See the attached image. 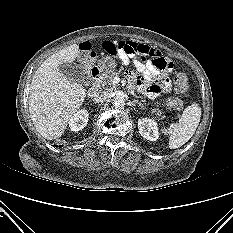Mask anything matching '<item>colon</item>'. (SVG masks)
<instances>
[{
	"mask_svg": "<svg viewBox=\"0 0 233 233\" xmlns=\"http://www.w3.org/2000/svg\"><path fill=\"white\" fill-rule=\"evenodd\" d=\"M173 88L177 94H183L188 89V78L184 73H177L173 78ZM168 105L177 111L183 109V102L178 98L168 99Z\"/></svg>",
	"mask_w": 233,
	"mask_h": 233,
	"instance_id": "colon-1",
	"label": "colon"
}]
</instances>
